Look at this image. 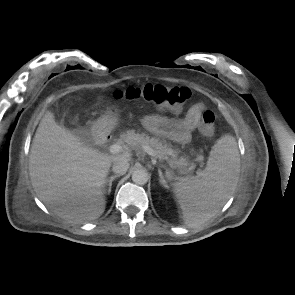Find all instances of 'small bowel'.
I'll list each match as a JSON object with an SVG mask.
<instances>
[{
    "mask_svg": "<svg viewBox=\"0 0 295 295\" xmlns=\"http://www.w3.org/2000/svg\"><path fill=\"white\" fill-rule=\"evenodd\" d=\"M204 111V105L197 103L189 108L182 119L174 120L160 115H146L142 122L149 131L183 144L190 140Z\"/></svg>",
    "mask_w": 295,
    "mask_h": 295,
    "instance_id": "1",
    "label": "small bowel"
}]
</instances>
